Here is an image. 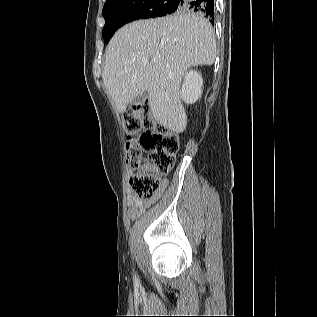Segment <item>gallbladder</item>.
<instances>
[{
	"label": "gallbladder",
	"instance_id": "1",
	"mask_svg": "<svg viewBox=\"0 0 317 317\" xmlns=\"http://www.w3.org/2000/svg\"><path fill=\"white\" fill-rule=\"evenodd\" d=\"M147 98V93H143L142 95L136 97L135 99H133V101L131 102V104H143L145 102Z\"/></svg>",
	"mask_w": 317,
	"mask_h": 317
}]
</instances>
